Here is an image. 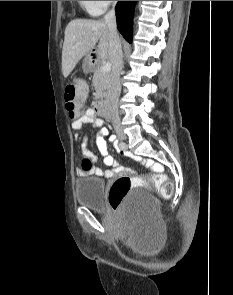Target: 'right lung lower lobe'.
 Masks as SVG:
<instances>
[{"instance_id":"obj_1","label":"right lung lower lobe","mask_w":233,"mask_h":295,"mask_svg":"<svg viewBox=\"0 0 233 295\" xmlns=\"http://www.w3.org/2000/svg\"><path fill=\"white\" fill-rule=\"evenodd\" d=\"M136 1H118L116 10L117 28L123 37L132 42V18Z\"/></svg>"}]
</instances>
